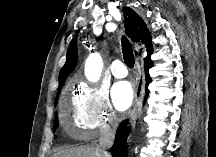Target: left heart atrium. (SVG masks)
I'll use <instances>...</instances> for the list:
<instances>
[{
	"mask_svg": "<svg viewBox=\"0 0 216 157\" xmlns=\"http://www.w3.org/2000/svg\"><path fill=\"white\" fill-rule=\"evenodd\" d=\"M114 106L119 111L128 109L133 102V88L129 82L116 83L111 91Z\"/></svg>",
	"mask_w": 216,
	"mask_h": 157,
	"instance_id": "left-heart-atrium-1",
	"label": "left heart atrium"
}]
</instances>
